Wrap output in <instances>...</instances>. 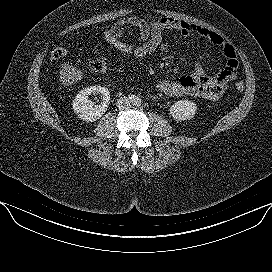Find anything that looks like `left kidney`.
<instances>
[{
	"label": "left kidney",
	"instance_id": "left-kidney-1",
	"mask_svg": "<svg viewBox=\"0 0 272 272\" xmlns=\"http://www.w3.org/2000/svg\"><path fill=\"white\" fill-rule=\"evenodd\" d=\"M196 111V104L188 100L177 101L169 109L170 115L178 121L189 120L193 118Z\"/></svg>",
	"mask_w": 272,
	"mask_h": 272
}]
</instances>
